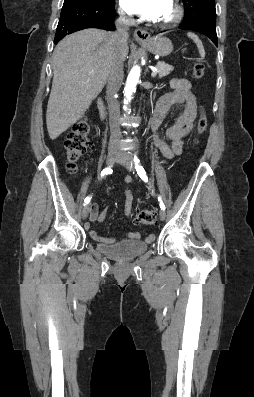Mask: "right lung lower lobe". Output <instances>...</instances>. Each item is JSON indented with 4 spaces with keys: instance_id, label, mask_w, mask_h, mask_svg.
Returning <instances> with one entry per match:
<instances>
[{
    "instance_id": "1",
    "label": "right lung lower lobe",
    "mask_w": 254,
    "mask_h": 397,
    "mask_svg": "<svg viewBox=\"0 0 254 397\" xmlns=\"http://www.w3.org/2000/svg\"><path fill=\"white\" fill-rule=\"evenodd\" d=\"M115 9L101 8L78 0H64L54 44L63 37L85 28L114 30Z\"/></svg>"
}]
</instances>
